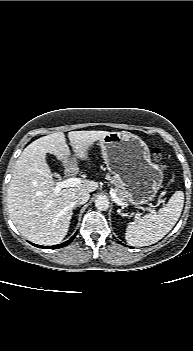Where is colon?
I'll list each match as a JSON object with an SVG mask.
<instances>
[{
  "label": "colon",
  "instance_id": "5ec220e1",
  "mask_svg": "<svg viewBox=\"0 0 193 351\" xmlns=\"http://www.w3.org/2000/svg\"><path fill=\"white\" fill-rule=\"evenodd\" d=\"M152 157L157 163L163 164L162 153L159 148H154L152 150Z\"/></svg>",
  "mask_w": 193,
  "mask_h": 351
}]
</instances>
